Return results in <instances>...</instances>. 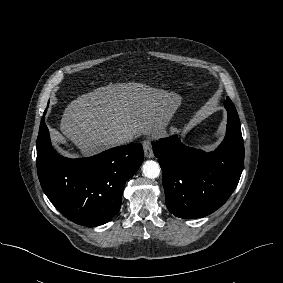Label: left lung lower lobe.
I'll return each mask as SVG.
<instances>
[{"instance_id":"left-lung-lower-lobe-1","label":"left lung lower lobe","mask_w":283,"mask_h":283,"mask_svg":"<svg viewBox=\"0 0 283 283\" xmlns=\"http://www.w3.org/2000/svg\"><path fill=\"white\" fill-rule=\"evenodd\" d=\"M227 133L214 152L189 148L177 135L153 142L162 169L166 206L180 218H201L220 208L236 188L244 165L240 120L226 100Z\"/></svg>"}]
</instances>
